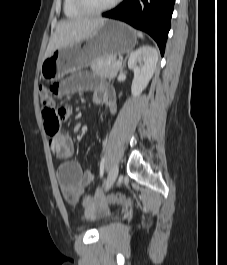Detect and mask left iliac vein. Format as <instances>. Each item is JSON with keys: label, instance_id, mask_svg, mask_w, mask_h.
Instances as JSON below:
<instances>
[{"label": "left iliac vein", "instance_id": "1", "mask_svg": "<svg viewBox=\"0 0 227 265\" xmlns=\"http://www.w3.org/2000/svg\"><path fill=\"white\" fill-rule=\"evenodd\" d=\"M118 172H119V166L116 163L109 170L108 178H107V181H106V184H105V191H108L112 187V185L114 184L115 180L117 179Z\"/></svg>", "mask_w": 227, "mask_h": 265}]
</instances>
